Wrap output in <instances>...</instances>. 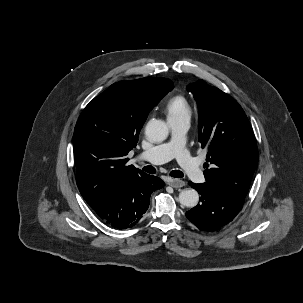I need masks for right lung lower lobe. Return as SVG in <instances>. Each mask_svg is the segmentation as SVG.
Listing matches in <instances>:
<instances>
[{"label": "right lung lower lobe", "instance_id": "1", "mask_svg": "<svg viewBox=\"0 0 303 303\" xmlns=\"http://www.w3.org/2000/svg\"><path fill=\"white\" fill-rule=\"evenodd\" d=\"M163 186L160 178L140 172L106 190L91 208L115 229L132 228L147 211L152 192Z\"/></svg>", "mask_w": 303, "mask_h": 303}]
</instances>
